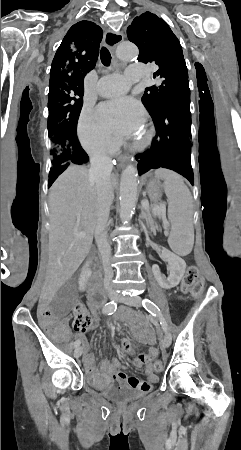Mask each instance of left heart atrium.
Listing matches in <instances>:
<instances>
[{
    "mask_svg": "<svg viewBox=\"0 0 241 450\" xmlns=\"http://www.w3.org/2000/svg\"><path fill=\"white\" fill-rule=\"evenodd\" d=\"M95 115L109 131L125 137L134 133L145 117L141 106L132 98L101 103L98 105Z\"/></svg>",
    "mask_w": 241,
    "mask_h": 450,
    "instance_id": "obj_1",
    "label": "left heart atrium"
}]
</instances>
